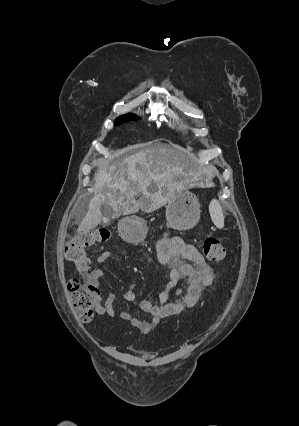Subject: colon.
Masks as SVG:
<instances>
[{
	"instance_id": "5ec220e1",
	"label": "colon",
	"mask_w": 299,
	"mask_h": 426,
	"mask_svg": "<svg viewBox=\"0 0 299 426\" xmlns=\"http://www.w3.org/2000/svg\"><path fill=\"white\" fill-rule=\"evenodd\" d=\"M111 233L107 228L83 231L75 235L66 246V258L72 262L81 273H87L92 268V262L87 255V249L109 239ZM203 252L209 261L219 262L225 257V249L220 241L209 236L203 243ZM68 291L74 308L83 322H89L93 315L94 301L97 290L79 279L68 282ZM178 300L185 298V290L176 289Z\"/></svg>"
}]
</instances>
